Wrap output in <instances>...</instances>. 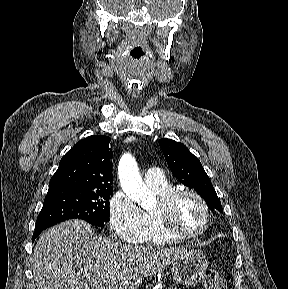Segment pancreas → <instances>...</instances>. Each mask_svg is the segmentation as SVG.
Masks as SVG:
<instances>
[{
	"instance_id": "pancreas-1",
	"label": "pancreas",
	"mask_w": 288,
	"mask_h": 289,
	"mask_svg": "<svg viewBox=\"0 0 288 289\" xmlns=\"http://www.w3.org/2000/svg\"><path fill=\"white\" fill-rule=\"evenodd\" d=\"M169 289H177L176 287H171V288H169Z\"/></svg>"
}]
</instances>
